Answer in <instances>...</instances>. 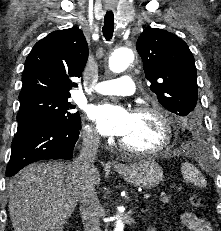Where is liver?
<instances>
[{"instance_id":"obj_1","label":"liver","mask_w":221,"mask_h":231,"mask_svg":"<svg viewBox=\"0 0 221 231\" xmlns=\"http://www.w3.org/2000/svg\"><path fill=\"white\" fill-rule=\"evenodd\" d=\"M74 162H42L19 171L7 183L15 231H63L79 201ZM101 182L96 169L95 184Z\"/></svg>"}]
</instances>
